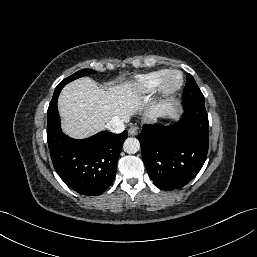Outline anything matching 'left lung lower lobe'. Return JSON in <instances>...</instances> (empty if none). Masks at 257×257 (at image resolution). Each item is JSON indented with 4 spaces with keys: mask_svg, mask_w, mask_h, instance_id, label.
<instances>
[{
    "mask_svg": "<svg viewBox=\"0 0 257 257\" xmlns=\"http://www.w3.org/2000/svg\"><path fill=\"white\" fill-rule=\"evenodd\" d=\"M184 114L173 126L144 124L137 138L150 178L162 190L180 189L202 168L209 144L205 103L183 101Z\"/></svg>",
    "mask_w": 257,
    "mask_h": 257,
    "instance_id": "1",
    "label": "left lung lower lobe"
}]
</instances>
